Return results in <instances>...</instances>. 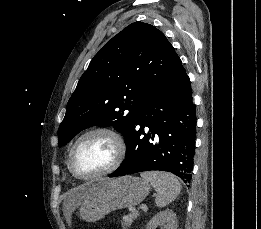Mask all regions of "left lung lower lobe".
Returning <instances> with one entry per match:
<instances>
[{
	"instance_id": "0a47b994",
	"label": "left lung lower lobe",
	"mask_w": 261,
	"mask_h": 229,
	"mask_svg": "<svg viewBox=\"0 0 261 229\" xmlns=\"http://www.w3.org/2000/svg\"><path fill=\"white\" fill-rule=\"evenodd\" d=\"M195 135L196 109L189 77L181 65L146 98L126 142V158L109 177L159 170L171 172L182 180L190 179Z\"/></svg>"
}]
</instances>
